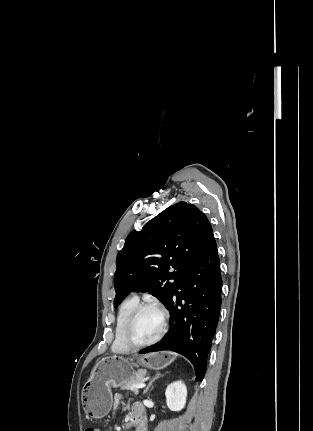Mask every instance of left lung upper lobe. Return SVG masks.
<instances>
[{"label": "left lung upper lobe", "mask_w": 313, "mask_h": 431, "mask_svg": "<svg viewBox=\"0 0 313 431\" xmlns=\"http://www.w3.org/2000/svg\"><path fill=\"white\" fill-rule=\"evenodd\" d=\"M211 232L205 214L186 202L168 207L132 232L117 255L114 307L139 291H150L167 307Z\"/></svg>", "instance_id": "1"}]
</instances>
